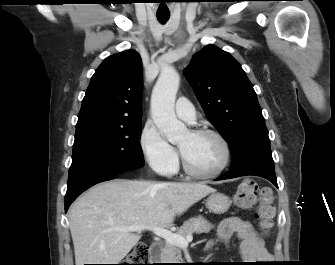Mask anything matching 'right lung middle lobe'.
I'll use <instances>...</instances> for the list:
<instances>
[{
    "mask_svg": "<svg viewBox=\"0 0 335 265\" xmlns=\"http://www.w3.org/2000/svg\"><path fill=\"white\" fill-rule=\"evenodd\" d=\"M141 120L121 126L76 129L69 178L92 168L133 170L144 164Z\"/></svg>",
    "mask_w": 335,
    "mask_h": 265,
    "instance_id": "1",
    "label": "right lung middle lobe"
}]
</instances>
